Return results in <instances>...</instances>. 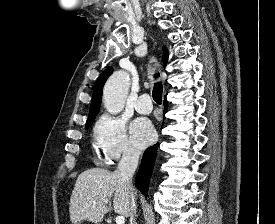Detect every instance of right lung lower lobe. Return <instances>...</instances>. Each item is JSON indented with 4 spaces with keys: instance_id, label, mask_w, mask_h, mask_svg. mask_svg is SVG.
Instances as JSON below:
<instances>
[{
    "instance_id": "right-lung-lower-lobe-1",
    "label": "right lung lower lobe",
    "mask_w": 275,
    "mask_h": 224,
    "mask_svg": "<svg viewBox=\"0 0 275 224\" xmlns=\"http://www.w3.org/2000/svg\"><path fill=\"white\" fill-rule=\"evenodd\" d=\"M167 111V101L164 100V114ZM158 144L149 147L142 158L139 171L136 175V186L144 194L148 193V186L156 159Z\"/></svg>"
}]
</instances>
